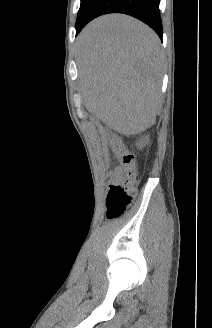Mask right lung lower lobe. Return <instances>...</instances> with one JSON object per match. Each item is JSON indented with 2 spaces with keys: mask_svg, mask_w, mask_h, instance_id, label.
<instances>
[{
  "mask_svg": "<svg viewBox=\"0 0 212 328\" xmlns=\"http://www.w3.org/2000/svg\"><path fill=\"white\" fill-rule=\"evenodd\" d=\"M160 0H96L89 8L85 19L76 28V34L94 18L108 13H123L149 25L162 38Z\"/></svg>",
  "mask_w": 212,
  "mask_h": 328,
  "instance_id": "98d812e1",
  "label": "right lung lower lobe"
}]
</instances>
